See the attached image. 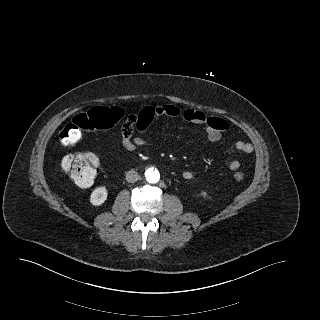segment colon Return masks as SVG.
<instances>
[{
  "instance_id": "obj_1",
  "label": "colon",
  "mask_w": 320,
  "mask_h": 320,
  "mask_svg": "<svg viewBox=\"0 0 320 320\" xmlns=\"http://www.w3.org/2000/svg\"><path fill=\"white\" fill-rule=\"evenodd\" d=\"M123 112L118 107L97 106L81 113L61 129L59 139L64 144H73L81 139L84 131H94L108 129L119 122ZM137 127H143L149 124L148 118L139 117L135 119ZM64 171L79 186H89L97 172L98 160L91 153H73L67 155L62 162ZM234 178L241 181L244 178L242 172H236Z\"/></svg>"
}]
</instances>
